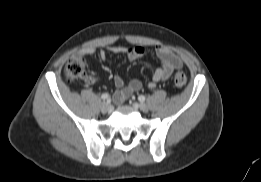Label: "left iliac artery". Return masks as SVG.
<instances>
[{
  "instance_id": "left-iliac-artery-1",
  "label": "left iliac artery",
  "mask_w": 261,
  "mask_h": 182,
  "mask_svg": "<svg viewBox=\"0 0 261 182\" xmlns=\"http://www.w3.org/2000/svg\"><path fill=\"white\" fill-rule=\"evenodd\" d=\"M145 99H146V97H145L144 95L138 96V100H139L140 102H144Z\"/></svg>"
}]
</instances>
